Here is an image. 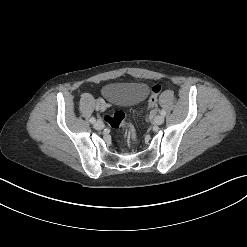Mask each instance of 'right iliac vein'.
Returning <instances> with one entry per match:
<instances>
[{
    "label": "right iliac vein",
    "instance_id": "obj_1",
    "mask_svg": "<svg viewBox=\"0 0 247 247\" xmlns=\"http://www.w3.org/2000/svg\"><path fill=\"white\" fill-rule=\"evenodd\" d=\"M95 129L97 130H101L104 128V123L101 120H98L95 124H94Z\"/></svg>",
    "mask_w": 247,
    "mask_h": 247
}]
</instances>
